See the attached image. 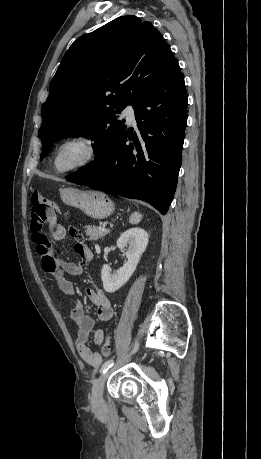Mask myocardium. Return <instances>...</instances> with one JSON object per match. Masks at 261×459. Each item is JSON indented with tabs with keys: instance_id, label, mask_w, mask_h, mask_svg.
<instances>
[{
	"instance_id": "1",
	"label": "myocardium",
	"mask_w": 261,
	"mask_h": 459,
	"mask_svg": "<svg viewBox=\"0 0 261 459\" xmlns=\"http://www.w3.org/2000/svg\"><path fill=\"white\" fill-rule=\"evenodd\" d=\"M70 145H77L82 149V155L78 161L66 168H58L56 166V158L59 153ZM99 148L97 141L88 134H73L68 135L59 140L49 156V166L53 173L58 175H67L90 166L98 157Z\"/></svg>"
}]
</instances>
